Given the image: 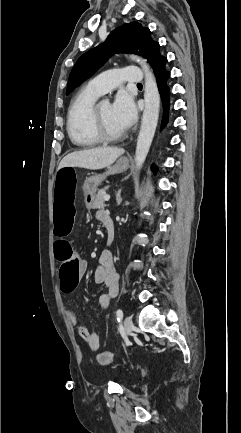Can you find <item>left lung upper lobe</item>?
I'll return each instance as SVG.
<instances>
[{"mask_svg":"<svg viewBox=\"0 0 241 433\" xmlns=\"http://www.w3.org/2000/svg\"><path fill=\"white\" fill-rule=\"evenodd\" d=\"M160 45L151 38L148 28L138 22L126 23L110 33L106 41L83 54L74 65L67 93L92 76L114 53H135L146 58L156 74L165 71L167 58L159 52Z\"/></svg>","mask_w":241,"mask_h":433,"instance_id":"left-lung-upper-lobe-1","label":"left lung upper lobe"}]
</instances>
